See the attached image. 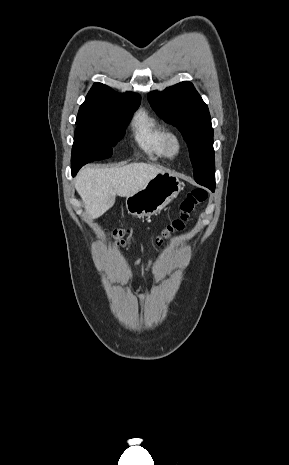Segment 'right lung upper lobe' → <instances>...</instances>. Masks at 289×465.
Masks as SVG:
<instances>
[{"instance_id":"right-lung-upper-lobe-1","label":"right lung upper lobe","mask_w":289,"mask_h":465,"mask_svg":"<svg viewBox=\"0 0 289 465\" xmlns=\"http://www.w3.org/2000/svg\"><path fill=\"white\" fill-rule=\"evenodd\" d=\"M122 102H140V97L131 92L117 94L110 87L95 83L80 106L76 123L104 122L109 115V108Z\"/></svg>"}]
</instances>
